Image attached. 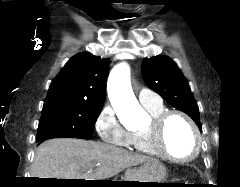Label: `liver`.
I'll return each instance as SVG.
<instances>
[{
	"label": "liver",
	"mask_w": 240,
	"mask_h": 187,
	"mask_svg": "<svg viewBox=\"0 0 240 187\" xmlns=\"http://www.w3.org/2000/svg\"><path fill=\"white\" fill-rule=\"evenodd\" d=\"M150 161L156 160L101 142L53 138L37 148L30 174L31 178L105 180Z\"/></svg>",
	"instance_id": "obj_1"
}]
</instances>
